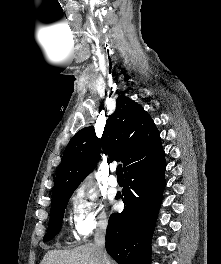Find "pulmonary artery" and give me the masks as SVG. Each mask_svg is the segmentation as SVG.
Segmentation results:
<instances>
[{
    "instance_id": "e3ab8cb5",
    "label": "pulmonary artery",
    "mask_w": 221,
    "mask_h": 264,
    "mask_svg": "<svg viewBox=\"0 0 221 264\" xmlns=\"http://www.w3.org/2000/svg\"><path fill=\"white\" fill-rule=\"evenodd\" d=\"M115 171V168L113 167L112 168V172ZM108 183L113 186V187H116L118 185V179L117 177L114 175V174H111L108 178Z\"/></svg>"
}]
</instances>
